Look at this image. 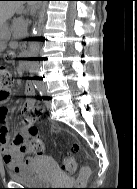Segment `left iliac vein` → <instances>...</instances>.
Listing matches in <instances>:
<instances>
[{"label": "left iliac vein", "mask_w": 137, "mask_h": 189, "mask_svg": "<svg viewBox=\"0 0 137 189\" xmlns=\"http://www.w3.org/2000/svg\"><path fill=\"white\" fill-rule=\"evenodd\" d=\"M45 106H46V108H50L51 107V101L50 100H46L45 101Z\"/></svg>", "instance_id": "obj_1"}]
</instances>
